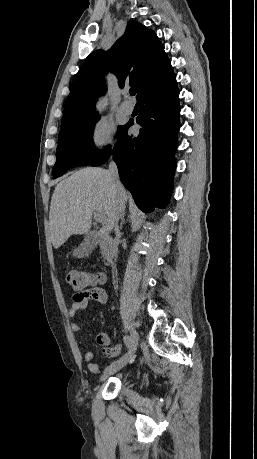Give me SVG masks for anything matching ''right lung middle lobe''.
<instances>
[{"label":"right lung middle lobe","instance_id":"dd1d6c3e","mask_svg":"<svg viewBox=\"0 0 257 459\" xmlns=\"http://www.w3.org/2000/svg\"><path fill=\"white\" fill-rule=\"evenodd\" d=\"M99 118V115L89 118L59 134L56 163L53 168L54 179L73 167L90 165L110 152V147L104 150L93 148L92 132ZM123 127L119 126L117 137Z\"/></svg>","mask_w":257,"mask_h":459}]
</instances>
